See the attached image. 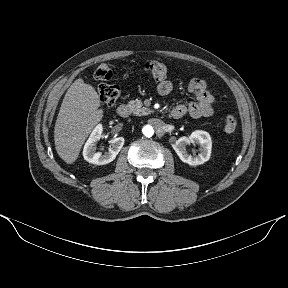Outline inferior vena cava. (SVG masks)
Returning a JSON list of instances; mask_svg holds the SVG:
<instances>
[{"instance_id": "inferior-vena-cava-1", "label": "inferior vena cava", "mask_w": 288, "mask_h": 288, "mask_svg": "<svg viewBox=\"0 0 288 288\" xmlns=\"http://www.w3.org/2000/svg\"><path fill=\"white\" fill-rule=\"evenodd\" d=\"M149 125L152 128H156L154 134L157 137L167 136L170 133L169 127H167L166 124H164L158 118L150 120Z\"/></svg>"}]
</instances>
